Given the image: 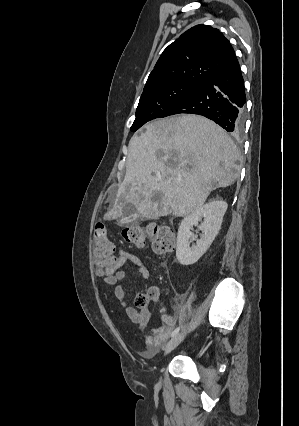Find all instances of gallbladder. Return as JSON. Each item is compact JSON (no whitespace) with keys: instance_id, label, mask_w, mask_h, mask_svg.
Listing matches in <instances>:
<instances>
[{"instance_id":"1","label":"gallbladder","mask_w":299,"mask_h":426,"mask_svg":"<svg viewBox=\"0 0 299 426\" xmlns=\"http://www.w3.org/2000/svg\"><path fill=\"white\" fill-rule=\"evenodd\" d=\"M136 214V208L131 203H128L123 208V219L124 222H119L121 225L136 223L138 219L135 217Z\"/></svg>"}]
</instances>
